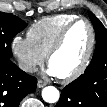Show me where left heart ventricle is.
I'll return each mask as SVG.
<instances>
[{"label": "left heart ventricle", "instance_id": "left-heart-ventricle-1", "mask_svg": "<svg viewBox=\"0 0 107 107\" xmlns=\"http://www.w3.org/2000/svg\"><path fill=\"white\" fill-rule=\"evenodd\" d=\"M89 42L90 32L84 22H79L70 29L63 46L50 61V66L57 76H67L81 65Z\"/></svg>", "mask_w": 107, "mask_h": 107}]
</instances>
